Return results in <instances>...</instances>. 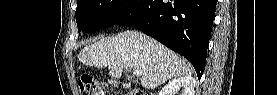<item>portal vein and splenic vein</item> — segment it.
<instances>
[{"label":"portal vein and splenic vein","mask_w":277,"mask_h":95,"mask_svg":"<svg viewBox=\"0 0 277 95\" xmlns=\"http://www.w3.org/2000/svg\"><path fill=\"white\" fill-rule=\"evenodd\" d=\"M130 70L133 71V75H135V76H141V74H142V72L139 71V70H135V69H132V68Z\"/></svg>","instance_id":"portal-vein-and-splenic-vein-1"}]
</instances>
